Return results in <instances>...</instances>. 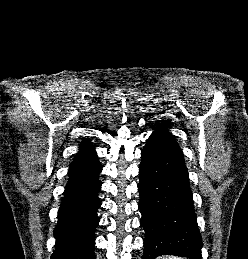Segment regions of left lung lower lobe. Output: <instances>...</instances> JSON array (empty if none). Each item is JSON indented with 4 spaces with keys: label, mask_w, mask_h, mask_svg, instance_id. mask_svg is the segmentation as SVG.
<instances>
[{
    "label": "left lung lower lobe",
    "mask_w": 248,
    "mask_h": 259,
    "mask_svg": "<svg viewBox=\"0 0 248 259\" xmlns=\"http://www.w3.org/2000/svg\"><path fill=\"white\" fill-rule=\"evenodd\" d=\"M141 158L139 208L146 234L142 259L160 255L201 259V235L183 154L148 140Z\"/></svg>",
    "instance_id": "1"
}]
</instances>
